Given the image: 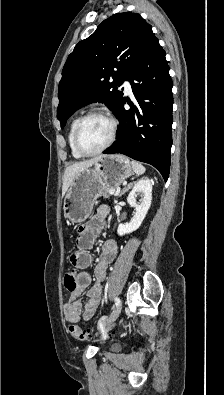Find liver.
<instances>
[{
    "instance_id": "obj_1",
    "label": "liver",
    "mask_w": 224,
    "mask_h": 395,
    "mask_svg": "<svg viewBox=\"0 0 224 395\" xmlns=\"http://www.w3.org/2000/svg\"><path fill=\"white\" fill-rule=\"evenodd\" d=\"M103 156H97L89 160L81 161L74 163L73 165L68 166L65 169L64 176H63V185H62V195H65L67 190L69 189L74 177L77 173L91 167L97 161H99Z\"/></svg>"
}]
</instances>
